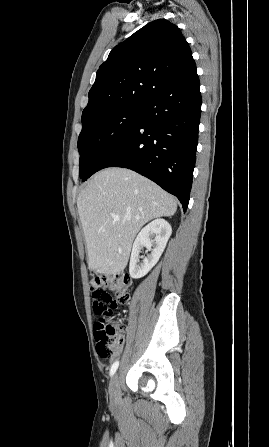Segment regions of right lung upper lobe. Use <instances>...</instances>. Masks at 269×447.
<instances>
[{
	"instance_id": "cb5924a9",
	"label": "right lung upper lobe",
	"mask_w": 269,
	"mask_h": 447,
	"mask_svg": "<svg viewBox=\"0 0 269 447\" xmlns=\"http://www.w3.org/2000/svg\"><path fill=\"white\" fill-rule=\"evenodd\" d=\"M194 63L180 29L155 20L115 46L99 67L82 123L120 107L142 104Z\"/></svg>"
}]
</instances>
